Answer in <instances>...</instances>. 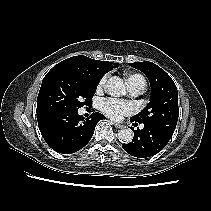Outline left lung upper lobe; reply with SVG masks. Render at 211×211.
Wrapping results in <instances>:
<instances>
[{
	"instance_id": "5c2ea615",
	"label": "left lung upper lobe",
	"mask_w": 211,
	"mask_h": 211,
	"mask_svg": "<svg viewBox=\"0 0 211 211\" xmlns=\"http://www.w3.org/2000/svg\"><path fill=\"white\" fill-rule=\"evenodd\" d=\"M129 65L142 71L151 86L150 102L130 120L158 127L173 135L179 116L178 91L175 83L163 69L152 62L129 63Z\"/></svg>"
}]
</instances>
